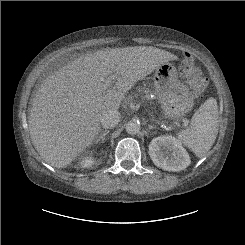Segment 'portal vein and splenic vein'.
Instances as JSON below:
<instances>
[{"label":"portal vein and splenic vein","instance_id":"1","mask_svg":"<svg viewBox=\"0 0 245 245\" xmlns=\"http://www.w3.org/2000/svg\"><path fill=\"white\" fill-rule=\"evenodd\" d=\"M110 82H111V79H108V80L106 81V86H108V85L110 84ZM183 122H184V126H188L189 121H188L187 119H185Z\"/></svg>","mask_w":245,"mask_h":245}]
</instances>
